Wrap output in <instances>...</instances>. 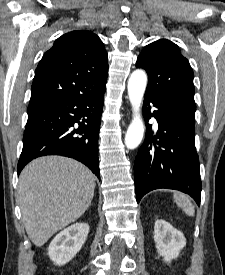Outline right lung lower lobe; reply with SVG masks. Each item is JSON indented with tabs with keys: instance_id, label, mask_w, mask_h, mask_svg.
Masks as SVG:
<instances>
[{
	"instance_id": "obj_1",
	"label": "right lung lower lobe",
	"mask_w": 225,
	"mask_h": 275,
	"mask_svg": "<svg viewBox=\"0 0 225 275\" xmlns=\"http://www.w3.org/2000/svg\"><path fill=\"white\" fill-rule=\"evenodd\" d=\"M106 82L92 94L28 108L18 174L34 158L62 155L82 162L100 178L98 135Z\"/></svg>"
}]
</instances>
